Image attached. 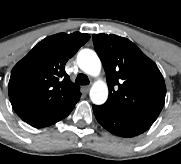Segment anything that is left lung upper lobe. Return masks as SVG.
<instances>
[{"mask_svg": "<svg viewBox=\"0 0 181 164\" xmlns=\"http://www.w3.org/2000/svg\"><path fill=\"white\" fill-rule=\"evenodd\" d=\"M92 37L107 75L109 97L106 102L155 121L166 95L157 65L124 37L103 33Z\"/></svg>", "mask_w": 181, "mask_h": 164, "instance_id": "5c2ea615", "label": "left lung upper lobe"}]
</instances>
